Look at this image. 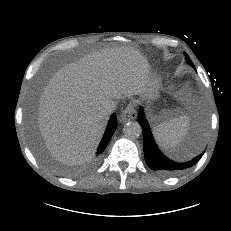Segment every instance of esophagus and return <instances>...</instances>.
<instances>
[{
  "label": "esophagus",
  "instance_id": "34e87169",
  "mask_svg": "<svg viewBox=\"0 0 231 231\" xmlns=\"http://www.w3.org/2000/svg\"><path fill=\"white\" fill-rule=\"evenodd\" d=\"M137 117V112L134 108L133 104H128L126 108L122 111L120 115V120L122 122H127L130 120H134Z\"/></svg>",
  "mask_w": 231,
  "mask_h": 231
}]
</instances>
